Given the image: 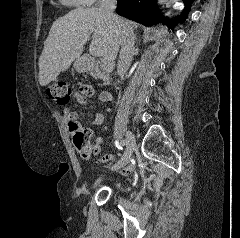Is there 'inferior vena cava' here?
Returning a JSON list of instances; mask_svg holds the SVG:
<instances>
[{
	"mask_svg": "<svg viewBox=\"0 0 240 238\" xmlns=\"http://www.w3.org/2000/svg\"><path fill=\"white\" fill-rule=\"evenodd\" d=\"M116 3L117 0H102L99 11L121 31V50L117 64V73L123 77L131 64L134 54V33L132 26L127 25L123 19L114 14Z\"/></svg>",
	"mask_w": 240,
	"mask_h": 238,
	"instance_id": "1",
	"label": "inferior vena cava"
}]
</instances>
